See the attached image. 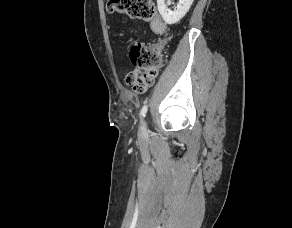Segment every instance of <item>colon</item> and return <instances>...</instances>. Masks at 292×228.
I'll return each mask as SVG.
<instances>
[{"mask_svg": "<svg viewBox=\"0 0 292 228\" xmlns=\"http://www.w3.org/2000/svg\"><path fill=\"white\" fill-rule=\"evenodd\" d=\"M106 9L111 14H125L131 19L153 21L156 32L163 31V22L154 20L156 9L152 0H108ZM130 58L136 69L126 75L125 82L136 93L142 94L157 76L163 64L162 43H135Z\"/></svg>", "mask_w": 292, "mask_h": 228, "instance_id": "5ec220e1", "label": "colon"}]
</instances>
